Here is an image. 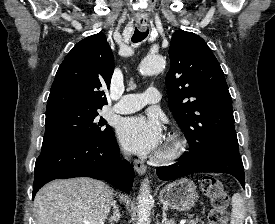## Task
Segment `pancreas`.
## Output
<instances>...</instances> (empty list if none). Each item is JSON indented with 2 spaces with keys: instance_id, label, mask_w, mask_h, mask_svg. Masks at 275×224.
<instances>
[{
  "instance_id": "cf45deb5",
  "label": "pancreas",
  "mask_w": 275,
  "mask_h": 224,
  "mask_svg": "<svg viewBox=\"0 0 275 224\" xmlns=\"http://www.w3.org/2000/svg\"><path fill=\"white\" fill-rule=\"evenodd\" d=\"M200 221H201V218L197 216V217H195L194 219H189V220L187 221V224H199Z\"/></svg>"
}]
</instances>
